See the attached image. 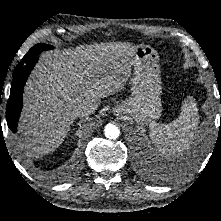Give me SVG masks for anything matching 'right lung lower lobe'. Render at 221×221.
Returning <instances> with one entry per match:
<instances>
[{"instance_id": "obj_1", "label": "right lung lower lobe", "mask_w": 221, "mask_h": 221, "mask_svg": "<svg viewBox=\"0 0 221 221\" xmlns=\"http://www.w3.org/2000/svg\"><path fill=\"white\" fill-rule=\"evenodd\" d=\"M37 60V55L28 59L23 58L13 73L14 79L11 84L10 97L6 108L7 124L12 132L17 131V121L22 108L23 88Z\"/></svg>"}]
</instances>
